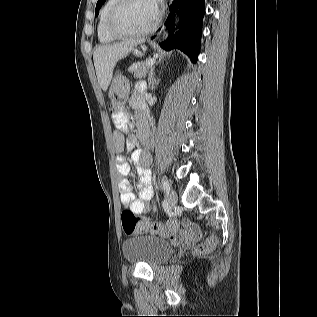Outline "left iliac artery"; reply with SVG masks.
<instances>
[{
    "instance_id": "obj_1",
    "label": "left iliac artery",
    "mask_w": 317,
    "mask_h": 317,
    "mask_svg": "<svg viewBox=\"0 0 317 317\" xmlns=\"http://www.w3.org/2000/svg\"><path fill=\"white\" fill-rule=\"evenodd\" d=\"M162 189L164 190L165 193H169L170 186L167 180H162Z\"/></svg>"
}]
</instances>
